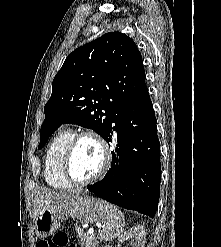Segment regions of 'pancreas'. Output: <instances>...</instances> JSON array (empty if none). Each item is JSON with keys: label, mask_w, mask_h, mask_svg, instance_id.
Listing matches in <instances>:
<instances>
[{"label": "pancreas", "mask_w": 221, "mask_h": 247, "mask_svg": "<svg viewBox=\"0 0 221 247\" xmlns=\"http://www.w3.org/2000/svg\"><path fill=\"white\" fill-rule=\"evenodd\" d=\"M78 236L81 238V243L85 247H97V240L95 236L92 234L84 233L80 227H76Z\"/></svg>", "instance_id": "cf45deb5"}]
</instances>
